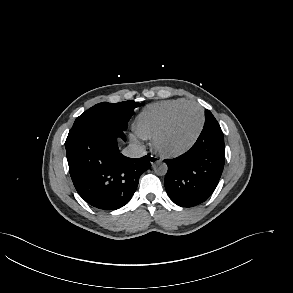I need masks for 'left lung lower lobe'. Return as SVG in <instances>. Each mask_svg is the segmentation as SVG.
Returning a JSON list of instances; mask_svg holds the SVG:
<instances>
[{"label":"left lung lower lobe","mask_w":293,"mask_h":293,"mask_svg":"<svg viewBox=\"0 0 293 293\" xmlns=\"http://www.w3.org/2000/svg\"><path fill=\"white\" fill-rule=\"evenodd\" d=\"M168 165L165 189L171 200L181 207L204 202L215 190L225 162L222 130L218 123L205 125L193 147Z\"/></svg>","instance_id":"obj_1"}]
</instances>
